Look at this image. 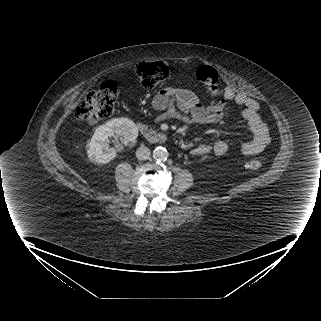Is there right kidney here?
Instances as JSON below:
<instances>
[{
  "label": "right kidney",
  "instance_id": "1",
  "mask_svg": "<svg viewBox=\"0 0 321 321\" xmlns=\"http://www.w3.org/2000/svg\"><path fill=\"white\" fill-rule=\"evenodd\" d=\"M121 137L125 145L133 144L138 136V128L128 118H114L97 127L87 146L88 158L95 164H106L116 156V150L109 148V137Z\"/></svg>",
  "mask_w": 321,
  "mask_h": 321
}]
</instances>
